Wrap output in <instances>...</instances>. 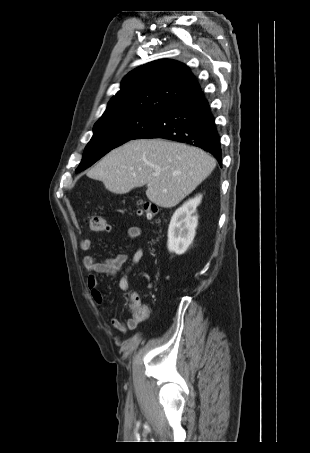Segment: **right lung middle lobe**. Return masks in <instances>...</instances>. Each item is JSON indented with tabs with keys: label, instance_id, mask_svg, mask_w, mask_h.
Wrapping results in <instances>:
<instances>
[{
	"label": "right lung middle lobe",
	"instance_id": "dd1d6c3e",
	"mask_svg": "<svg viewBox=\"0 0 310 453\" xmlns=\"http://www.w3.org/2000/svg\"><path fill=\"white\" fill-rule=\"evenodd\" d=\"M160 114L122 113L101 117L93 129V137L84 150L76 173L85 170L110 150L136 139Z\"/></svg>",
	"mask_w": 310,
	"mask_h": 453
}]
</instances>
